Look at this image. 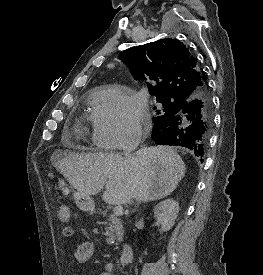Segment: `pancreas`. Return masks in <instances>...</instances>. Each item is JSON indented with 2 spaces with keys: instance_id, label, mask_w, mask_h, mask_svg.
<instances>
[{
  "instance_id": "1",
  "label": "pancreas",
  "mask_w": 263,
  "mask_h": 275,
  "mask_svg": "<svg viewBox=\"0 0 263 275\" xmlns=\"http://www.w3.org/2000/svg\"><path fill=\"white\" fill-rule=\"evenodd\" d=\"M106 224L108 225L105 227V235L107 236L106 241L111 245L117 238L121 237L122 223L115 215H110Z\"/></svg>"
}]
</instances>
